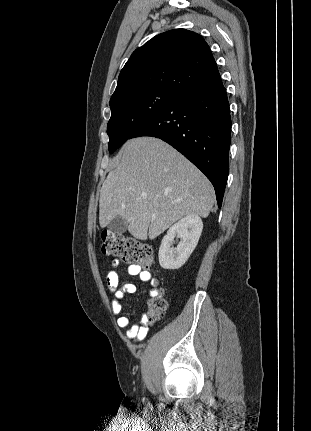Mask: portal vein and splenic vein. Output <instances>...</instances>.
Listing matches in <instances>:
<instances>
[{
  "label": "portal vein and splenic vein",
  "instance_id": "portal-vein-and-splenic-vein-1",
  "mask_svg": "<svg viewBox=\"0 0 311 431\" xmlns=\"http://www.w3.org/2000/svg\"><path fill=\"white\" fill-rule=\"evenodd\" d=\"M142 198H147V196H142Z\"/></svg>",
  "mask_w": 311,
  "mask_h": 431
}]
</instances>
